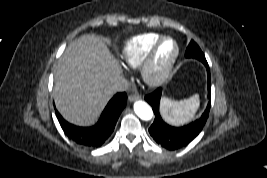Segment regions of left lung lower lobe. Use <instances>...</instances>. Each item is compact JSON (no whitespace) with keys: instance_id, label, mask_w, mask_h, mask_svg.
<instances>
[{"instance_id":"1","label":"left lung lower lobe","mask_w":267,"mask_h":178,"mask_svg":"<svg viewBox=\"0 0 267 178\" xmlns=\"http://www.w3.org/2000/svg\"><path fill=\"white\" fill-rule=\"evenodd\" d=\"M204 65L206 66L208 75L207 89L209 102L204 113L194 122L182 127L168 125L163 121L159 113L161 89H157L145 97V100L152 106L155 114V119L149 128V133L158 144L168 150H177L188 145L201 132L208 118L211 105V81L208 63Z\"/></svg>"}]
</instances>
